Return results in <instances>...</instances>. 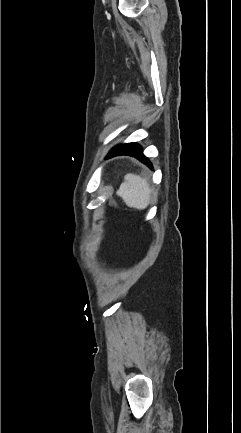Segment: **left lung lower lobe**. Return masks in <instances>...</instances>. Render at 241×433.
<instances>
[{
  "label": "left lung lower lobe",
  "mask_w": 241,
  "mask_h": 433,
  "mask_svg": "<svg viewBox=\"0 0 241 433\" xmlns=\"http://www.w3.org/2000/svg\"><path fill=\"white\" fill-rule=\"evenodd\" d=\"M123 154L133 156L139 159L145 165L149 166L151 169L153 168L149 159L143 154L141 146L136 143H131L127 146L116 147L108 154V156L111 157Z\"/></svg>",
  "instance_id": "1"
}]
</instances>
